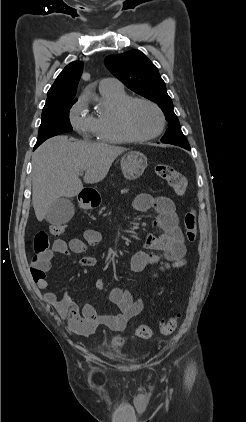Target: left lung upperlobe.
Masks as SVG:
<instances>
[{
  "label": "left lung upper lobe",
  "instance_id": "left-lung-upper-lobe-1",
  "mask_svg": "<svg viewBox=\"0 0 246 422\" xmlns=\"http://www.w3.org/2000/svg\"><path fill=\"white\" fill-rule=\"evenodd\" d=\"M104 63L111 73L135 93L155 102L162 109L168 121V129L162 143L190 148L183 135L180 123L173 111V103L156 66L139 50L120 55H110Z\"/></svg>",
  "mask_w": 246,
  "mask_h": 422
}]
</instances>
